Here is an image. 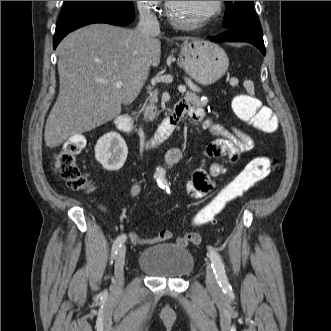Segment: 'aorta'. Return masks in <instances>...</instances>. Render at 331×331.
<instances>
[{"label":"aorta","mask_w":331,"mask_h":331,"mask_svg":"<svg viewBox=\"0 0 331 331\" xmlns=\"http://www.w3.org/2000/svg\"><path fill=\"white\" fill-rule=\"evenodd\" d=\"M162 176H163V170L160 169V168H158V169L156 170V177H162Z\"/></svg>","instance_id":"aorta-1"}]
</instances>
